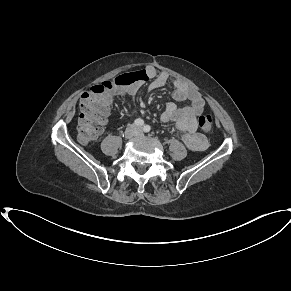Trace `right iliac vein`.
I'll return each instance as SVG.
<instances>
[{
	"instance_id": "63e3f726",
	"label": "right iliac vein",
	"mask_w": 291,
	"mask_h": 291,
	"mask_svg": "<svg viewBox=\"0 0 291 291\" xmlns=\"http://www.w3.org/2000/svg\"><path fill=\"white\" fill-rule=\"evenodd\" d=\"M137 134V129L134 125L129 126L125 131V138L130 139Z\"/></svg>"
}]
</instances>
